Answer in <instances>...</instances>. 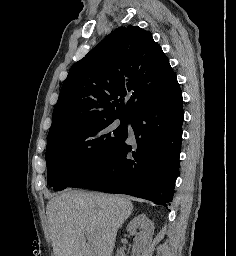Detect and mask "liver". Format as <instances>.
Masks as SVG:
<instances>
[{
  "instance_id": "obj_1",
  "label": "liver",
  "mask_w": 236,
  "mask_h": 256,
  "mask_svg": "<svg viewBox=\"0 0 236 256\" xmlns=\"http://www.w3.org/2000/svg\"><path fill=\"white\" fill-rule=\"evenodd\" d=\"M132 212L124 196L60 192L46 206L55 256H112L117 232Z\"/></svg>"
}]
</instances>
